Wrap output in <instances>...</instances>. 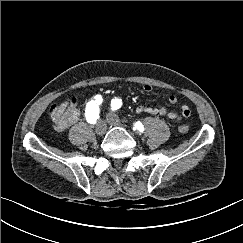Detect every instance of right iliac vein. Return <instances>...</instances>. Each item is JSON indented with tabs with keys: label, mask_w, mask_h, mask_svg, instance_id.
Returning a JSON list of instances; mask_svg holds the SVG:
<instances>
[{
	"label": "right iliac vein",
	"mask_w": 243,
	"mask_h": 243,
	"mask_svg": "<svg viewBox=\"0 0 243 243\" xmlns=\"http://www.w3.org/2000/svg\"><path fill=\"white\" fill-rule=\"evenodd\" d=\"M106 130H107V125L105 121L100 120L96 125V129H95L96 134L98 136H103L106 133Z\"/></svg>",
	"instance_id": "right-iliac-vein-1"
}]
</instances>
